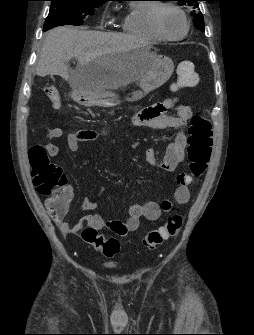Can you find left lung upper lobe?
I'll return each instance as SVG.
<instances>
[{"label": "left lung upper lobe", "instance_id": "left-lung-upper-lobe-1", "mask_svg": "<svg viewBox=\"0 0 254 335\" xmlns=\"http://www.w3.org/2000/svg\"><path fill=\"white\" fill-rule=\"evenodd\" d=\"M179 1L182 5H189L192 6L193 8H197L198 7V2L199 0H176ZM194 16V23L195 25L202 31H204V19L202 16L201 12H194L193 13Z\"/></svg>", "mask_w": 254, "mask_h": 335}]
</instances>
